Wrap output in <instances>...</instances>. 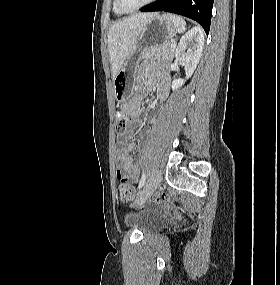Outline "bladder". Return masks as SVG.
I'll return each mask as SVG.
<instances>
[{"label": "bladder", "instance_id": "obj_1", "mask_svg": "<svg viewBox=\"0 0 280 285\" xmlns=\"http://www.w3.org/2000/svg\"><path fill=\"white\" fill-rule=\"evenodd\" d=\"M161 216L154 211L146 210L126 217V223L143 232L152 231L161 224Z\"/></svg>", "mask_w": 280, "mask_h": 285}]
</instances>
